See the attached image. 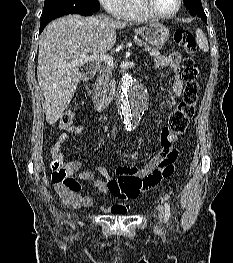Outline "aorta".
<instances>
[{"instance_id":"1","label":"aorta","mask_w":233,"mask_h":263,"mask_svg":"<svg viewBox=\"0 0 233 263\" xmlns=\"http://www.w3.org/2000/svg\"><path fill=\"white\" fill-rule=\"evenodd\" d=\"M147 104V91L129 72L121 78L119 108L126 126L138 122Z\"/></svg>"}]
</instances>
